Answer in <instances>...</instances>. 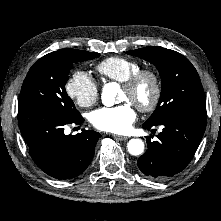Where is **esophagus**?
Segmentation results:
<instances>
[{
    "label": "esophagus",
    "mask_w": 221,
    "mask_h": 221,
    "mask_svg": "<svg viewBox=\"0 0 221 221\" xmlns=\"http://www.w3.org/2000/svg\"><path fill=\"white\" fill-rule=\"evenodd\" d=\"M115 139L120 140V141H126L128 137L126 136H120V135H114Z\"/></svg>",
    "instance_id": "1"
}]
</instances>
